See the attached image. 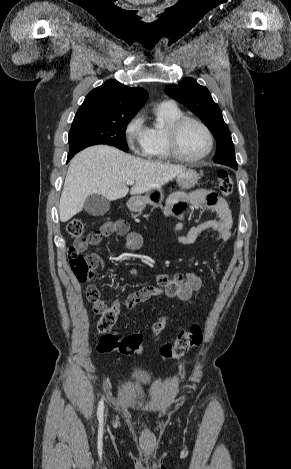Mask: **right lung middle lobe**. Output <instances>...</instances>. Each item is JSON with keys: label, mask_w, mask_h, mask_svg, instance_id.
<instances>
[{"label": "right lung middle lobe", "mask_w": 291, "mask_h": 469, "mask_svg": "<svg viewBox=\"0 0 291 469\" xmlns=\"http://www.w3.org/2000/svg\"><path fill=\"white\" fill-rule=\"evenodd\" d=\"M133 117L76 114L69 132V154L95 144L127 151L125 130Z\"/></svg>", "instance_id": "dd1d6c3e"}]
</instances>
